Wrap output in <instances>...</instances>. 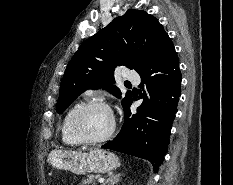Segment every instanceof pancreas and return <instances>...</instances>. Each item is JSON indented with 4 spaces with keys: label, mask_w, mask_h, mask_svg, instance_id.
I'll return each mask as SVG.
<instances>
[{
    "label": "pancreas",
    "mask_w": 233,
    "mask_h": 185,
    "mask_svg": "<svg viewBox=\"0 0 233 185\" xmlns=\"http://www.w3.org/2000/svg\"><path fill=\"white\" fill-rule=\"evenodd\" d=\"M99 178L100 175H87V177L82 180L81 185H96L95 181Z\"/></svg>",
    "instance_id": "1"
}]
</instances>
